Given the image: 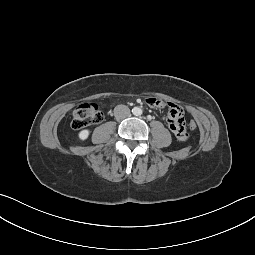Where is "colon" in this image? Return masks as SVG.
<instances>
[{"label": "colon", "instance_id": "1", "mask_svg": "<svg viewBox=\"0 0 255 255\" xmlns=\"http://www.w3.org/2000/svg\"><path fill=\"white\" fill-rule=\"evenodd\" d=\"M103 120V113L99 109L98 105L92 102L80 104L73 111L72 126L75 129H81L91 124H98ZM189 130H196V122H189Z\"/></svg>", "mask_w": 255, "mask_h": 255}]
</instances>
